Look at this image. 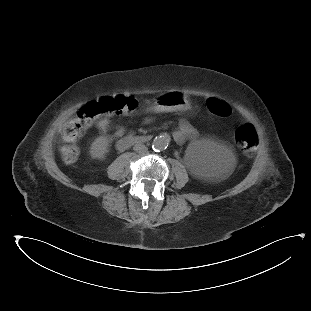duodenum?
Instances as JSON below:
<instances>
[{
    "instance_id": "duodenum-1",
    "label": "duodenum",
    "mask_w": 311,
    "mask_h": 311,
    "mask_svg": "<svg viewBox=\"0 0 311 311\" xmlns=\"http://www.w3.org/2000/svg\"><path fill=\"white\" fill-rule=\"evenodd\" d=\"M152 141V138L147 135L129 134L118 139L116 147L119 151L128 150L139 145H147Z\"/></svg>"
}]
</instances>
